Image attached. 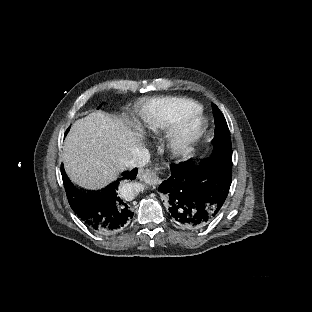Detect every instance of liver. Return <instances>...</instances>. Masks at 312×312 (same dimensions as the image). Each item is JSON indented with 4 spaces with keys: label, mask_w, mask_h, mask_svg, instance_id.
I'll list each match as a JSON object with an SVG mask.
<instances>
[{
    "label": "liver",
    "mask_w": 312,
    "mask_h": 312,
    "mask_svg": "<svg viewBox=\"0 0 312 312\" xmlns=\"http://www.w3.org/2000/svg\"><path fill=\"white\" fill-rule=\"evenodd\" d=\"M140 127L103 111L76 120L67 135L60 161L70 180L99 190L115 181L131 160L145 149Z\"/></svg>",
    "instance_id": "obj_1"
}]
</instances>
